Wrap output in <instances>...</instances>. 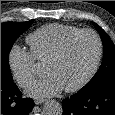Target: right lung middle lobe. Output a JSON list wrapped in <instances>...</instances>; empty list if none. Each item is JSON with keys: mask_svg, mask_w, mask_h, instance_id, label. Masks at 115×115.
I'll use <instances>...</instances> for the list:
<instances>
[{"mask_svg": "<svg viewBox=\"0 0 115 115\" xmlns=\"http://www.w3.org/2000/svg\"><path fill=\"white\" fill-rule=\"evenodd\" d=\"M34 22H6L1 24V82H13L9 67V53L15 40Z\"/></svg>", "mask_w": 115, "mask_h": 115, "instance_id": "obj_1", "label": "right lung middle lobe"}]
</instances>
